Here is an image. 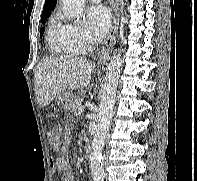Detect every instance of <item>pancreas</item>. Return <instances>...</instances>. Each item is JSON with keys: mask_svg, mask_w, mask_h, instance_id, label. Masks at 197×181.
Here are the masks:
<instances>
[{"mask_svg": "<svg viewBox=\"0 0 197 181\" xmlns=\"http://www.w3.org/2000/svg\"><path fill=\"white\" fill-rule=\"evenodd\" d=\"M82 103H83L82 99H74L69 107L71 113L77 114L79 107L82 106Z\"/></svg>", "mask_w": 197, "mask_h": 181, "instance_id": "1", "label": "pancreas"}]
</instances>
